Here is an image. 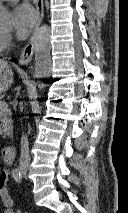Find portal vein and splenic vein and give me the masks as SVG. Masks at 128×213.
<instances>
[{
  "mask_svg": "<svg viewBox=\"0 0 128 213\" xmlns=\"http://www.w3.org/2000/svg\"><path fill=\"white\" fill-rule=\"evenodd\" d=\"M8 108V104L5 101H0V110H5Z\"/></svg>",
  "mask_w": 128,
  "mask_h": 213,
  "instance_id": "portal-vein-and-splenic-vein-1",
  "label": "portal vein and splenic vein"
}]
</instances>
